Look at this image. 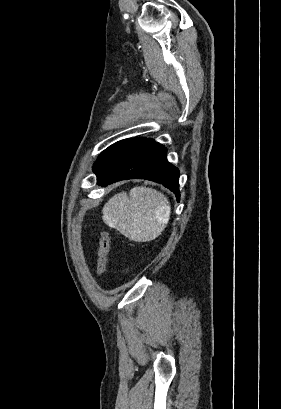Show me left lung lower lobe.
<instances>
[{
	"label": "left lung lower lobe",
	"mask_w": 281,
	"mask_h": 409,
	"mask_svg": "<svg viewBox=\"0 0 281 409\" xmlns=\"http://www.w3.org/2000/svg\"><path fill=\"white\" fill-rule=\"evenodd\" d=\"M167 149L152 139H144L111 159L97 173L103 186L124 179H147L163 184L179 201V170L166 159Z\"/></svg>",
	"instance_id": "1"
}]
</instances>
